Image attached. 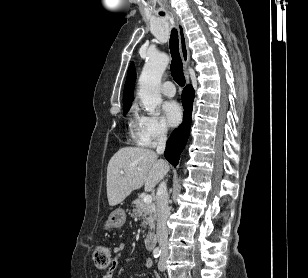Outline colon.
Segmentation results:
<instances>
[{
  "label": "colon",
  "mask_w": 308,
  "mask_h": 278,
  "mask_svg": "<svg viewBox=\"0 0 308 278\" xmlns=\"http://www.w3.org/2000/svg\"><path fill=\"white\" fill-rule=\"evenodd\" d=\"M113 252L104 245L97 246L93 251V261L98 270L107 271L113 264Z\"/></svg>",
  "instance_id": "colon-1"
}]
</instances>
